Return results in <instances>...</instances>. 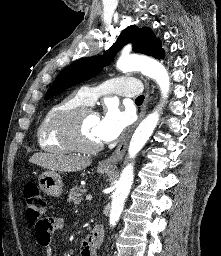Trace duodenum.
<instances>
[{"instance_id":"obj_1","label":"duodenum","mask_w":221,"mask_h":256,"mask_svg":"<svg viewBox=\"0 0 221 256\" xmlns=\"http://www.w3.org/2000/svg\"><path fill=\"white\" fill-rule=\"evenodd\" d=\"M102 237L103 229L99 224H97L87 236L86 242L92 249L96 250L102 241Z\"/></svg>"}]
</instances>
